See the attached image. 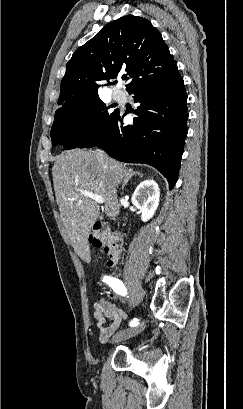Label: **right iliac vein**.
Masks as SVG:
<instances>
[{
  "instance_id": "obj_1",
  "label": "right iliac vein",
  "mask_w": 243,
  "mask_h": 409,
  "mask_svg": "<svg viewBox=\"0 0 243 409\" xmlns=\"http://www.w3.org/2000/svg\"><path fill=\"white\" fill-rule=\"evenodd\" d=\"M145 328V324L142 323L139 326H136L134 328H129V329H125L122 330L118 333H116L113 337V340L115 342H119V341H124L126 339H129L135 335H138L139 333H141Z\"/></svg>"
}]
</instances>
